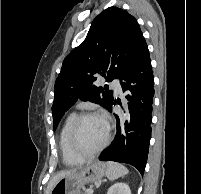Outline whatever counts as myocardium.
<instances>
[{
  "mask_svg": "<svg viewBox=\"0 0 201 194\" xmlns=\"http://www.w3.org/2000/svg\"><path fill=\"white\" fill-rule=\"evenodd\" d=\"M92 117L102 118L99 114L94 113V112H83L76 116V118L74 119V121L71 125L70 132H69V145H70L72 152L75 155H77L78 157L83 158V159L92 158V157L98 155L100 152H102L103 149L108 145V143L110 141V137H111L109 127L106 124L107 134H106L104 141L101 143V145L98 148H96L93 151L88 152V151H84L80 147L79 142H78L80 126L85 119L92 118Z\"/></svg>",
  "mask_w": 201,
  "mask_h": 194,
  "instance_id": "obj_1",
  "label": "myocardium"
}]
</instances>
